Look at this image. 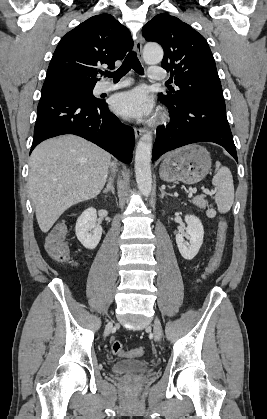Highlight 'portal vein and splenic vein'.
<instances>
[{
  "label": "portal vein and splenic vein",
  "mask_w": 267,
  "mask_h": 419,
  "mask_svg": "<svg viewBox=\"0 0 267 419\" xmlns=\"http://www.w3.org/2000/svg\"><path fill=\"white\" fill-rule=\"evenodd\" d=\"M203 192H204L205 194H208V195H211V194H212V192H211V191H209L208 189H203ZM191 193H196V189H193V190L191 191Z\"/></svg>",
  "instance_id": "portal-vein-and-splenic-vein-1"
}]
</instances>
